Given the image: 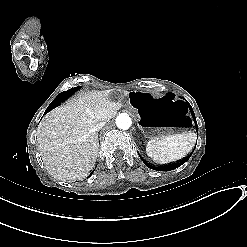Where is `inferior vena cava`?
I'll return each instance as SVG.
<instances>
[{
	"instance_id": "602c4592",
	"label": "inferior vena cava",
	"mask_w": 247,
	"mask_h": 247,
	"mask_svg": "<svg viewBox=\"0 0 247 247\" xmlns=\"http://www.w3.org/2000/svg\"><path fill=\"white\" fill-rule=\"evenodd\" d=\"M106 122L105 121H100L95 125V130L99 131L100 129H102L105 126Z\"/></svg>"
}]
</instances>
